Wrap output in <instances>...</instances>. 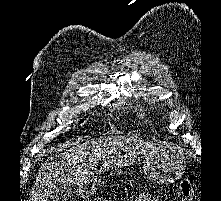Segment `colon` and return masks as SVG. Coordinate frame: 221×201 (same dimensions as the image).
Listing matches in <instances>:
<instances>
[{
    "label": "colon",
    "instance_id": "obj_1",
    "mask_svg": "<svg viewBox=\"0 0 221 201\" xmlns=\"http://www.w3.org/2000/svg\"><path fill=\"white\" fill-rule=\"evenodd\" d=\"M179 195L182 201H196L195 190L187 179L181 181Z\"/></svg>",
    "mask_w": 221,
    "mask_h": 201
}]
</instances>
